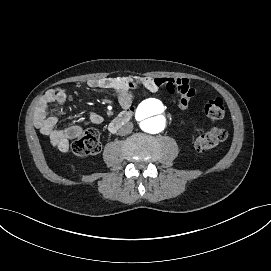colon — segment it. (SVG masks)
<instances>
[{
    "label": "colon",
    "instance_id": "colon-1",
    "mask_svg": "<svg viewBox=\"0 0 271 271\" xmlns=\"http://www.w3.org/2000/svg\"><path fill=\"white\" fill-rule=\"evenodd\" d=\"M207 118L215 123L221 120L225 114L223 101L214 98L207 102L205 106ZM227 138V131L221 127H213L209 132L198 135L193 140L196 150L204 151L215 148ZM101 144L99 134L94 129H87L72 143L71 149L78 156L95 155L100 151Z\"/></svg>",
    "mask_w": 271,
    "mask_h": 271
}]
</instances>
